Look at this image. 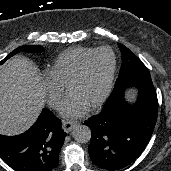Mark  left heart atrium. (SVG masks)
I'll use <instances>...</instances> for the list:
<instances>
[{
    "mask_svg": "<svg viewBox=\"0 0 171 171\" xmlns=\"http://www.w3.org/2000/svg\"><path fill=\"white\" fill-rule=\"evenodd\" d=\"M88 109L89 106L79 95L70 93L61 106V115L65 118H78Z\"/></svg>",
    "mask_w": 171,
    "mask_h": 171,
    "instance_id": "obj_1",
    "label": "left heart atrium"
}]
</instances>
